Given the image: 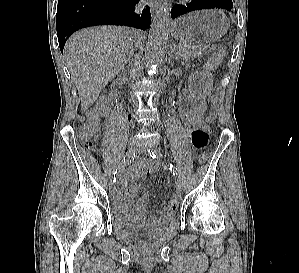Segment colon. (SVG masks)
<instances>
[{
    "label": "colon",
    "instance_id": "colon-1",
    "mask_svg": "<svg viewBox=\"0 0 299 273\" xmlns=\"http://www.w3.org/2000/svg\"><path fill=\"white\" fill-rule=\"evenodd\" d=\"M194 53L197 57L205 60V68L207 71L216 67L223 59L224 51L222 47L215 44H198L194 46ZM207 111V103L201 99L192 106L189 121L195 125L203 123V117ZM97 123L93 117H90L78 129V138L80 142L89 149L95 150V136L97 134ZM208 155L206 152H202L198 155L197 161L199 164H203L207 161ZM181 193L177 191L173 194L170 205L177 207ZM140 235L144 237V233Z\"/></svg>",
    "mask_w": 299,
    "mask_h": 273
}]
</instances>
